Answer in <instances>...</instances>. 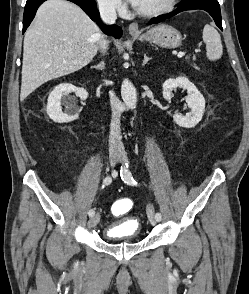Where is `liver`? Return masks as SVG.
<instances>
[{
    "label": "liver",
    "instance_id": "liver-1",
    "mask_svg": "<svg viewBox=\"0 0 249 294\" xmlns=\"http://www.w3.org/2000/svg\"><path fill=\"white\" fill-rule=\"evenodd\" d=\"M102 40L97 25L77 5L65 0L44 2L24 37L20 99L85 67Z\"/></svg>",
    "mask_w": 249,
    "mask_h": 294
}]
</instances>
